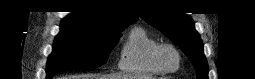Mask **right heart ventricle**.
Wrapping results in <instances>:
<instances>
[{"label": "right heart ventricle", "instance_id": "obj_1", "mask_svg": "<svg viewBox=\"0 0 255 79\" xmlns=\"http://www.w3.org/2000/svg\"><path fill=\"white\" fill-rule=\"evenodd\" d=\"M159 41L142 27L133 28L123 43L119 68L127 73L162 75L152 61V53Z\"/></svg>", "mask_w": 255, "mask_h": 79}]
</instances>
